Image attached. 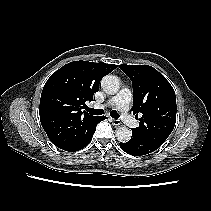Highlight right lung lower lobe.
Returning a JSON list of instances; mask_svg holds the SVG:
<instances>
[{
    "mask_svg": "<svg viewBox=\"0 0 211 211\" xmlns=\"http://www.w3.org/2000/svg\"><path fill=\"white\" fill-rule=\"evenodd\" d=\"M104 119H106L105 116L96 117L91 123L82 128L68 144L59 148L69 152L83 149L90 143L97 124Z\"/></svg>",
    "mask_w": 211,
    "mask_h": 211,
    "instance_id": "right-lung-lower-lobe-1",
    "label": "right lung lower lobe"
}]
</instances>
